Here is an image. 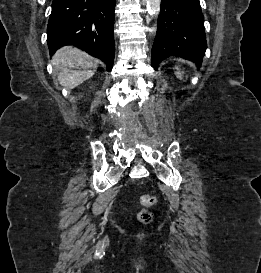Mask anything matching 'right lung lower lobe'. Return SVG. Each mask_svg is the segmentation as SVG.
I'll return each instance as SVG.
<instances>
[{"instance_id":"obj_1","label":"right lung lower lobe","mask_w":261,"mask_h":273,"mask_svg":"<svg viewBox=\"0 0 261 273\" xmlns=\"http://www.w3.org/2000/svg\"><path fill=\"white\" fill-rule=\"evenodd\" d=\"M116 0H53L47 28L50 54L64 45H74L101 59L111 71Z\"/></svg>"}]
</instances>
